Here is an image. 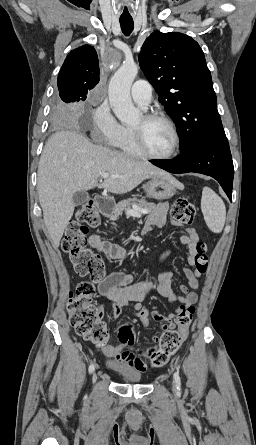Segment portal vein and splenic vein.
Returning <instances> with one entry per match:
<instances>
[{"label": "portal vein and splenic vein", "instance_id": "portal-vein-and-splenic-vein-1", "mask_svg": "<svg viewBox=\"0 0 256 445\" xmlns=\"http://www.w3.org/2000/svg\"><path fill=\"white\" fill-rule=\"evenodd\" d=\"M101 177H102L103 179H107V178L110 177V175H109L108 173H103V174L101 175ZM111 177H115V176H111ZM142 213H147V211L144 210V209H141V210L134 209V210L126 211V214H127V215H129V216H133V217H136V218H140V217L142 216Z\"/></svg>", "mask_w": 256, "mask_h": 445}]
</instances>
